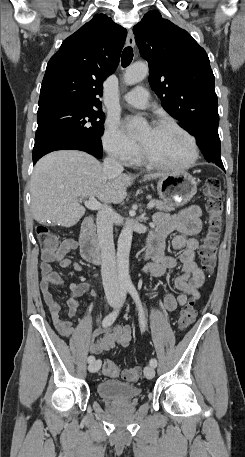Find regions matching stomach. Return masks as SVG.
Segmentation results:
<instances>
[{
    "mask_svg": "<svg viewBox=\"0 0 245 457\" xmlns=\"http://www.w3.org/2000/svg\"><path fill=\"white\" fill-rule=\"evenodd\" d=\"M158 194L165 202L186 204L197 190V180L189 172H167L157 182Z\"/></svg>",
    "mask_w": 245,
    "mask_h": 457,
    "instance_id": "obj_1",
    "label": "stomach"
}]
</instances>
